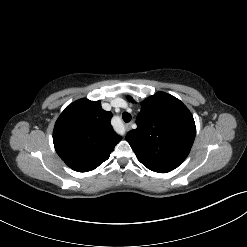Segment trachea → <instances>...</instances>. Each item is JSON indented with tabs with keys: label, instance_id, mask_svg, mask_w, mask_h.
<instances>
[{
	"label": "trachea",
	"instance_id": "1",
	"mask_svg": "<svg viewBox=\"0 0 247 247\" xmlns=\"http://www.w3.org/2000/svg\"><path fill=\"white\" fill-rule=\"evenodd\" d=\"M122 118H123V120L127 123V122H129V121L131 120L132 116H131L129 113L124 112V113L122 114Z\"/></svg>",
	"mask_w": 247,
	"mask_h": 247
}]
</instances>
